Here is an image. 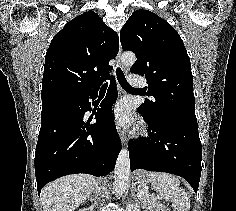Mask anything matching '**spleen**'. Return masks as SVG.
I'll return each mask as SVG.
<instances>
[{
    "instance_id": "1",
    "label": "spleen",
    "mask_w": 236,
    "mask_h": 211,
    "mask_svg": "<svg viewBox=\"0 0 236 211\" xmlns=\"http://www.w3.org/2000/svg\"><path fill=\"white\" fill-rule=\"evenodd\" d=\"M147 179L159 193L161 198L172 202L174 211H188L190 209V200L181 189L179 179L168 173L151 172L147 174Z\"/></svg>"
}]
</instances>
